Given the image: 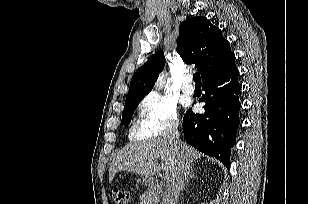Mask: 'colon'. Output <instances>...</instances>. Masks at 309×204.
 <instances>
[{
    "label": "colon",
    "instance_id": "5ec220e1",
    "mask_svg": "<svg viewBox=\"0 0 309 204\" xmlns=\"http://www.w3.org/2000/svg\"><path fill=\"white\" fill-rule=\"evenodd\" d=\"M112 197L115 204H128L130 199V193L127 190L114 189Z\"/></svg>",
    "mask_w": 309,
    "mask_h": 204
}]
</instances>
